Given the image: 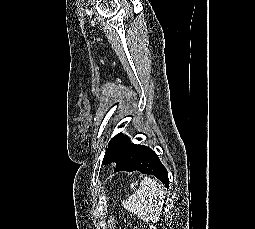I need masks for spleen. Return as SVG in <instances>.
Returning a JSON list of instances; mask_svg holds the SVG:
<instances>
[{
  "mask_svg": "<svg viewBox=\"0 0 255 229\" xmlns=\"http://www.w3.org/2000/svg\"><path fill=\"white\" fill-rule=\"evenodd\" d=\"M122 204L141 220L157 222L164 204V187L157 180L144 177L139 188Z\"/></svg>",
  "mask_w": 255,
  "mask_h": 229,
  "instance_id": "spleen-1",
  "label": "spleen"
}]
</instances>
